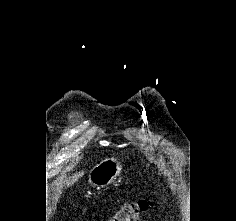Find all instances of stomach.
I'll use <instances>...</instances> for the list:
<instances>
[{
  "label": "stomach",
  "instance_id": "1",
  "mask_svg": "<svg viewBox=\"0 0 236 221\" xmlns=\"http://www.w3.org/2000/svg\"><path fill=\"white\" fill-rule=\"evenodd\" d=\"M121 171L122 166L117 158H106L89 171L88 183L92 187H106L116 180Z\"/></svg>",
  "mask_w": 236,
  "mask_h": 221
}]
</instances>
